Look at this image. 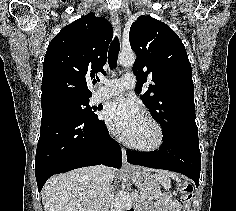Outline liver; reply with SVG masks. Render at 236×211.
<instances>
[{"mask_svg":"<svg viewBox=\"0 0 236 211\" xmlns=\"http://www.w3.org/2000/svg\"><path fill=\"white\" fill-rule=\"evenodd\" d=\"M107 175L112 182L115 170L108 168ZM96 190L95 167L55 175L47 180L42 190L44 211H92Z\"/></svg>","mask_w":236,"mask_h":211,"instance_id":"obj_1","label":"liver"}]
</instances>
